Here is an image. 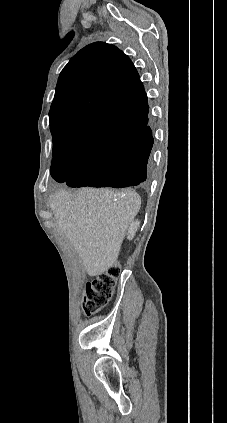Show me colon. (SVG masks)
I'll list each match as a JSON object with an SVG mask.
<instances>
[{"label":"colon","mask_w":227,"mask_h":423,"mask_svg":"<svg viewBox=\"0 0 227 423\" xmlns=\"http://www.w3.org/2000/svg\"><path fill=\"white\" fill-rule=\"evenodd\" d=\"M119 274V266L114 265L86 284L82 295V307L86 315L97 313L108 303Z\"/></svg>","instance_id":"5ec220e1"}]
</instances>
